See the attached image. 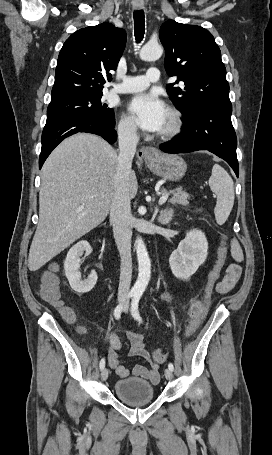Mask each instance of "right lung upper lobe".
I'll list each match as a JSON object with an SVG mask.
<instances>
[{"label": "right lung upper lobe", "mask_w": 272, "mask_h": 455, "mask_svg": "<svg viewBox=\"0 0 272 455\" xmlns=\"http://www.w3.org/2000/svg\"><path fill=\"white\" fill-rule=\"evenodd\" d=\"M126 44V33L104 22L73 33L58 57L51 101L83 95L102 94L111 81Z\"/></svg>", "instance_id": "cb5924a9"}]
</instances>
